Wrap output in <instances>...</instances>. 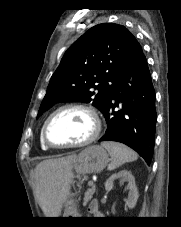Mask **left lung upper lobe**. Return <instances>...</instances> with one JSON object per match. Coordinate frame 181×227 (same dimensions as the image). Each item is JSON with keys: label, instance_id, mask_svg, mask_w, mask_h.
<instances>
[{"label": "left lung upper lobe", "instance_id": "1", "mask_svg": "<svg viewBox=\"0 0 181 227\" xmlns=\"http://www.w3.org/2000/svg\"><path fill=\"white\" fill-rule=\"evenodd\" d=\"M139 46L122 25L103 23L89 29L65 52L37 117L62 101H92L104 113Z\"/></svg>", "mask_w": 181, "mask_h": 227}]
</instances>
